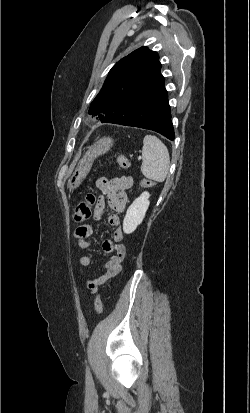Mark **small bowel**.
I'll return each instance as SVG.
<instances>
[{
	"label": "small bowel",
	"instance_id": "obj_1",
	"mask_svg": "<svg viewBox=\"0 0 250 413\" xmlns=\"http://www.w3.org/2000/svg\"><path fill=\"white\" fill-rule=\"evenodd\" d=\"M133 185V178L130 176L120 175L113 177H103L97 182L98 188L102 192V196L99 197L94 210L93 219L95 221L101 220L106 201L110 208L114 211L108 217V223L115 227L111 240H105L102 244L103 250L110 254L104 264L105 272L92 279L87 280V288L90 293H95L99 287L104 285L109 279L116 277L120 270L121 264L126 255V248L121 243L123 239V230L120 226L119 213L123 212L128 202L127 191ZM94 233L92 225H82L76 228L74 231V237L78 241V246L81 249H89L91 247L90 237ZM81 266L88 267L92 263V258L89 255H83L79 259Z\"/></svg>",
	"mask_w": 250,
	"mask_h": 413
}]
</instances>
